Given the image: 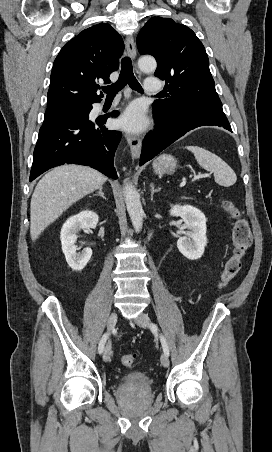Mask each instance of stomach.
Returning a JSON list of instances; mask_svg holds the SVG:
<instances>
[{
  "instance_id": "0dacf381",
  "label": "stomach",
  "mask_w": 272,
  "mask_h": 452,
  "mask_svg": "<svg viewBox=\"0 0 272 452\" xmlns=\"http://www.w3.org/2000/svg\"><path fill=\"white\" fill-rule=\"evenodd\" d=\"M153 169L156 174H171L174 172L177 160L171 155H161L153 162Z\"/></svg>"
}]
</instances>
